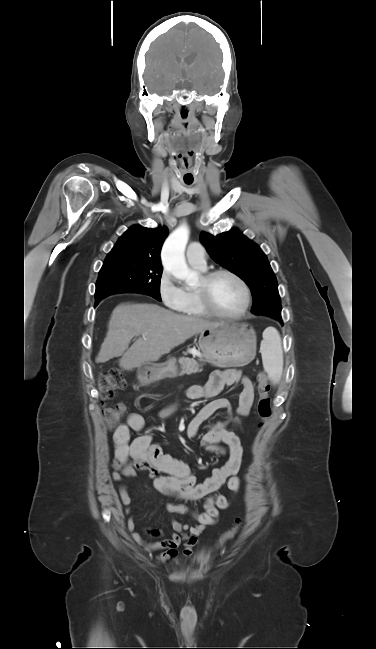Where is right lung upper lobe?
<instances>
[{"label": "right lung upper lobe", "mask_w": 376, "mask_h": 649, "mask_svg": "<svg viewBox=\"0 0 376 649\" xmlns=\"http://www.w3.org/2000/svg\"><path fill=\"white\" fill-rule=\"evenodd\" d=\"M168 235L166 227L145 228L139 224L130 227L117 241L108 256L132 255L151 260L161 267L160 251Z\"/></svg>", "instance_id": "1"}]
</instances>
